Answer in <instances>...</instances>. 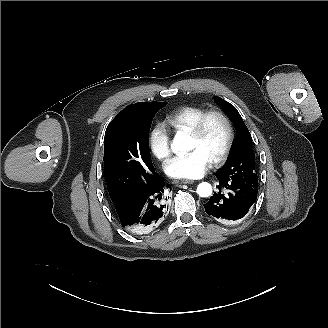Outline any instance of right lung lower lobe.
I'll use <instances>...</instances> for the list:
<instances>
[{
	"label": "right lung lower lobe",
	"mask_w": 328,
	"mask_h": 328,
	"mask_svg": "<svg viewBox=\"0 0 328 328\" xmlns=\"http://www.w3.org/2000/svg\"><path fill=\"white\" fill-rule=\"evenodd\" d=\"M166 190L171 191L170 185L165 186L163 179L157 174L146 193L129 201L121 211H117L121 225L139 235L149 233L164 219L168 211L165 202Z\"/></svg>",
	"instance_id": "1"
}]
</instances>
